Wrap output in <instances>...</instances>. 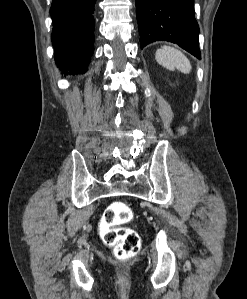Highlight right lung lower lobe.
I'll return each mask as SVG.
<instances>
[{
  "mask_svg": "<svg viewBox=\"0 0 247 299\" xmlns=\"http://www.w3.org/2000/svg\"><path fill=\"white\" fill-rule=\"evenodd\" d=\"M96 0H52V44L63 73H85L93 54Z\"/></svg>",
  "mask_w": 247,
  "mask_h": 299,
  "instance_id": "98d812e1",
  "label": "right lung lower lobe"
}]
</instances>
